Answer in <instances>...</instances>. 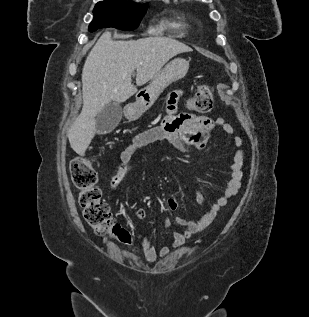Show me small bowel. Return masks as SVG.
I'll return each instance as SVG.
<instances>
[{
  "mask_svg": "<svg viewBox=\"0 0 309 317\" xmlns=\"http://www.w3.org/2000/svg\"><path fill=\"white\" fill-rule=\"evenodd\" d=\"M180 97L181 91H173L168 98L167 115L163 119L162 124L137 134L122 149L120 152L121 169L110 180L111 190H115L121 183L134 155L143 147L155 142L166 141L176 150L189 153L194 150L205 149L208 144L209 133L214 128H219L227 134L234 133L233 127L221 118L211 119L192 113H179L177 105ZM233 143L236 149L233 154L230 177L222 195L209 206L202 216L195 220L176 217L175 222L182 227V230L173 232L171 246L164 245L157 250L145 236H142L141 247L148 262L153 263L158 256L165 257L169 255L171 250L183 246L193 234L199 233L208 227L219 211L228 203L229 199L238 193L243 177L244 152L241 149L242 139L240 137L235 136ZM197 201L203 203V196L200 193L197 194ZM178 205V201L175 199L167 201L169 211H175ZM136 217L139 220L145 219V211L142 209L137 210ZM170 223V219L166 217L164 225L168 227Z\"/></svg>",
  "mask_w": 309,
  "mask_h": 317,
  "instance_id": "1",
  "label": "small bowel"
}]
</instances>
